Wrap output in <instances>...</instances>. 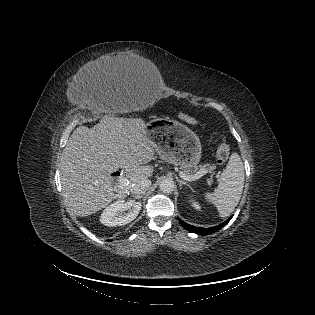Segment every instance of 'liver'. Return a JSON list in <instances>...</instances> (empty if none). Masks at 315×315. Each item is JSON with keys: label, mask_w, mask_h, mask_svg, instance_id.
I'll use <instances>...</instances> for the list:
<instances>
[{"label": "liver", "mask_w": 315, "mask_h": 315, "mask_svg": "<svg viewBox=\"0 0 315 315\" xmlns=\"http://www.w3.org/2000/svg\"><path fill=\"white\" fill-rule=\"evenodd\" d=\"M155 150L141 118L104 116L92 128L77 127L60 162L62 192L69 210L89 216L112 200L126 197L136 181L153 175V167L147 163L154 159ZM119 168L126 170L129 183L113 188L111 174Z\"/></svg>", "instance_id": "obj_1"}]
</instances>
